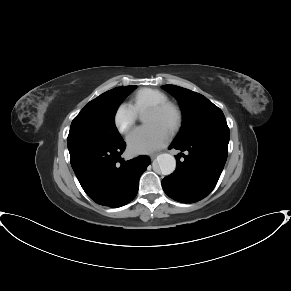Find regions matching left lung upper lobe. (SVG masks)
Returning <instances> with one entry per match:
<instances>
[{
	"label": "left lung upper lobe",
	"instance_id": "left-lung-upper-lobe-1",
	"mask_svg": "<svg viewBox=\"0 0 291 291\" xmlns=\"http://www.w3.org/2000/svg\"><path fill=\"white\" fill-rule=\"evenodd\" d=\"M162 88L178 100L183 113V126L174 143L183 144L211 135L229 134L222 110L206 97L175 85H164Z\"/></svg>",
	"mask_w": 291,
	"mask_h": 291
}]
</instances>
